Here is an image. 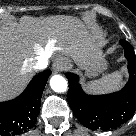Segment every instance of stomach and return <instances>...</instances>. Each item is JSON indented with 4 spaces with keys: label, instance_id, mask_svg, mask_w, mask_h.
Wrapping results in <instances>:
<instances>
[{
    "label": "stomach",
    "instance_id": "1",
    "mask_svg": "<svg viewBox=\"0 0 136 136\" xmlns=\"http://www.w3.org/2000/svg\"><path fill=\"white\" fill-rule=\"evenodd\" d=\"M67 62H69L68 59ZM106 67H107V63L104 59L103 52L100 51L97 54H95L90 61L86 63L84 69L88 76H97L99 73L105 70Z\"/></svg>",
    "mask_w": 136,
    "mask_h": 136
}]
</instances>
